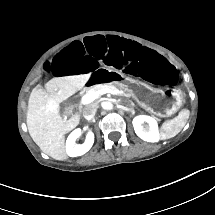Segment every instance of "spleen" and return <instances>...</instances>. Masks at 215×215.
Here are the masks:
<instances>
[{"mask_svg":"<svg viewBox=\"0 0 215 215\" xmlns=\"http://www.w3.org/2000/svg\"><path fill=\"white\" fill-rule=\"evenodd\" d=\"M183 112L184 111H181L178 116L164 122L161 129L162 139H168V138L174 137L181 131V129L186 123V120H184V118L182 117Z\"/></svg>","mask_w":215,"mask_h":215,"instance_id":"obj_1","label":"spleen"}]
</instances>
